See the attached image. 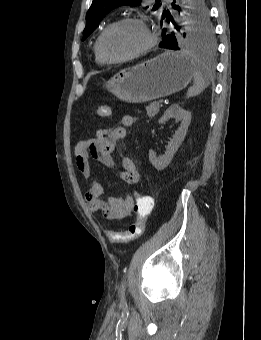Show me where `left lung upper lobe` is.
I'll return each instance as SVG.
<instances>
[{"label": "left lung upper lobe", "instance_id": "left-lung-upper-lobe-1", "mask_svg": "<svg viewBox=\"0 0 261 340\" xmlns=\"http://www.w3.org/2000/svg\"><path fill=\"white\" fill-rule=\"evenodd\" d=\"M141 0H93L86 14L85 40L97 27L103 17L112 9L122 5H140ZM158 5H154L156 10ZM174 25L177 32L162 31V36L173 35L178 42V49L194 48L203 51H213L215 48L213 26L209 19L208 10L203 0H187L183 8L182 25Z\"/></svg>", "mask_w": 261, "mask_h": 340}]
</instances>
